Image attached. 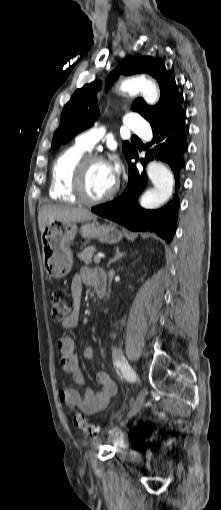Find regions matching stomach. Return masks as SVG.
<instances>
[{"label": "stomach", "instance_id": "1", "mask_svg": "<svg viewBox=\"0 0 221 510\" xmlns=\"http://www.w3.org/2000/svg\"><path fill=\"white\" fill-rule=\"evenodd\" d=\"M76 223L60 220L50 221L42 232V256L45 269L51 278L65 277L73 265V253L69 244L76 236ZM79 231L83 238H96L103 243L114 244L121 241L123 234L115 224L97 222L83 223Z\"/></svg>", "mask_w": 221, "mask_h": 510}]
</instances>
